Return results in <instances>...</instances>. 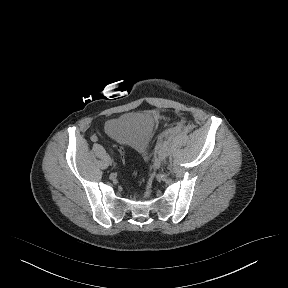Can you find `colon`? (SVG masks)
<instances>
[{"mask_svg": "<svg viewBox=\"0 0 288 288\" xmlns=\"http://www.w3.org/2000/svg\"><path fill=\"white\" fill-rule=\"evenodd\" d=\"M114 150L119 153V156H120L121 160L124 161L125 160L126 151L123 150L122 148L118 147V146H115Z\"/></svg>", "mask_w": 288, "mask_h": 288, "instance_id": "5ec220e1", "label": "colon"}]
</instances>
